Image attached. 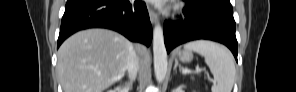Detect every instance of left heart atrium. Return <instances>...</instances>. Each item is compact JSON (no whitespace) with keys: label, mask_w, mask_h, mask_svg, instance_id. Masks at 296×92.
<instances>
[{"label":"left heart atrium","mask_w":296,"mask_h":92,"mask_svg":"<svg viewBox=\"0 0 296 92\" xmlns=\"http://www.w3.org/2000/svg\"><path fill=\"white\" fill-rule=\"evenodd\" d=\"M154 2H156V3H164V1H154Z\"/></svg>","instance_id":"obj_1"}]
</instances>
